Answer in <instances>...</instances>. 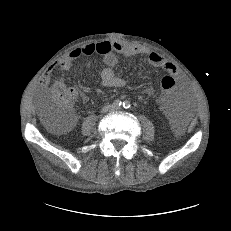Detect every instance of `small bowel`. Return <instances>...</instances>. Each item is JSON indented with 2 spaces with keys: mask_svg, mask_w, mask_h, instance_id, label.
<instances>
[{
  "mask_svg": "<svg viewBox=\"0 0 231 231\" xmlns=\"http://www.w3.org/2000/svg\"><path fill=\"white\" fill-rule=\"evenodd\" d=\"M145 50L130 46L121 42H109L102 41L93 44H87L85 46L76 48L69 52L65 57H63L57 64V66L62 70H68L73 65L76 59L81 56H89L93 54H99L103 57V62L105 67L101 71V84L105 87L110 88H121L131 84L129 80H126L114 71V67L118 61V55H123L125 57H134L137 55L144 54ZM147 61L154 67H160L164 69L170 76L174 79L179 77V70L175 64L169 62L163 58L159 53L151 52L148 54ZM43 87L50 85L49 76H45L41 82ZM60 87L59 84H55L54 88ZM53 88V89H54ZM81 99L87 101L88 96L85 93H81ZM169 96L165 95L161 98L162 108L167 111V104L169 103Z\"/></svg>",
  "mask_w": 231,
  "mask_h": 231,
  "instance_id": "small-bowel-1",
  "label": "small bowel"
}]
</instances>
